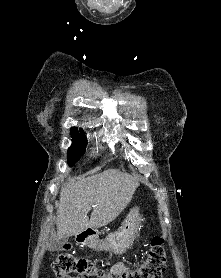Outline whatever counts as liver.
Returning a JSON list of instances; mask_svg holds the SVG:
<instances>
[{
  "instance_id": "1",
  "label": "liver",
  "mask_w": 221,
  "mask_h": 278,
  "mask_svg": "<svg viewBox=\"0 0 221 278\" xmlns=\"http://www.w3.org/2000/svg\"><path fill=\"white\" fill-rule=\"evenodd\" d=\"M138 186L136 177L115 169L66 183L57 206L56 240L108 225L130 203Z\"/></svg>"
}]
</instances>
